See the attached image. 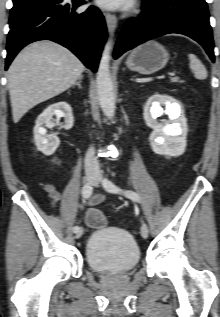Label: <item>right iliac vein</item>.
<instances>
[{
	"label": "right iliac vein",
	"instance_id": "63e3f726",
	"mask_svg": "<svg viewBox=\"0 0 220 317\" xmlns=\"http://www.w3.org/2000/svg\"><path fill=\"white\" fill-rule=\"evenodd\" d=\"M95 179H96V175L95 174L90 173V174L86 175V180L89 183H93L95 181ZM82 234H83V228L80 227V229L76 232L75 237L78 239V238H80L82 236Z\"/></svg>",
	"mask_w": 220,
	"mask_h": 317
}]
</instances>
